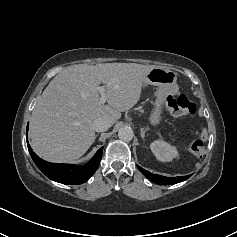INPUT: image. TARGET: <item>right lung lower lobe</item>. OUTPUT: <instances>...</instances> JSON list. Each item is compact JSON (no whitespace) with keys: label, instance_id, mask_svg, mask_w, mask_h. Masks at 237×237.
<instances>
[{"label":"right lung lower lobe","instance_id":"obj_1","mask_svg":"<svg viewBox=\"0 0 237 237\" xmlns=\"http://www.w3.org/2000/svg\"><path fill=\"white\" fill-rule=\"evenodd\" d=\"M27 146L35 164L49 179L62 184L74 185L84 183L94 174L100 164L103 152V147H101L85 165L56 164L42 160L33 152L29 144Z\"/></svg>","mask_w":237,"mask_h":237}]
</instances>
